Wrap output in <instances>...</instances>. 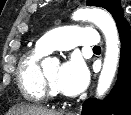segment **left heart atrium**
Instances as JSON below:
<instances>
[{"label":"left heart atrium","mask_w":131,"mask_h":115,"mask_svg":"<svg viewBox=\"0 0 131 115\" xmlns=\"http://www.w3.org/2000/svg\"><path fill=\"white\" fill-rule=\"evenodd\" d=\"M88 83V71L84 63L72 58L61 66L58 71L55 87L66 96L82 92Z\"/></svg>","instance_id":"39dd6f15"}]
</instances>
